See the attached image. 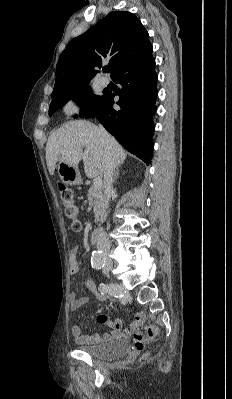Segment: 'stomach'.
I'll return each mask as SVG.
<instances>
[{
    "mask_svg": "<svg viewBox=\"0 0 232 399\" xmlns=\"http://www.w3.org/2000/svg\"><path fill=\"white\" fill-rule=\"evenodd\" d=\"M57 172L59 178H61L62 182L67 184V186H77V184H81V176L78 168L69 166V164H65V162H59Z\"/></svg>",
    "mask_w": 232,
    "mask_h": 399,
    "instance_id": "0dacf381",
    "label": "stomach"
}]
</instances>
